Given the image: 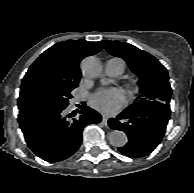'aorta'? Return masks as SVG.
<instances>
[{
	"mask_svg": "<svg viewBox=\"0 0 194 193\" xmlns=\"http://www.w3.org/2000/svg\"><path fill=\"white\" fill-rule=\"evenodd\" d=\"M81 70L88 78H97L102 73V65L94 56H88L81 62ZM109 142L116 147H123L128 141L127 135L120 130H113L108 136Z\"/></svg>",
	"mask_w": 194,
	"mask_h": 193,
	"instance_id": "762f6f07",
	"label": "aorta"
}]
</instances>
